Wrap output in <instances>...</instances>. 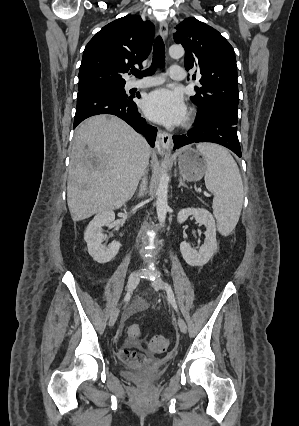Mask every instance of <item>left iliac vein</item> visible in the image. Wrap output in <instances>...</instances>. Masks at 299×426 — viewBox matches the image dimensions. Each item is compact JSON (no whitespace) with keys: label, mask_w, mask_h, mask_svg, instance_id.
<instances>
[{"label":"left iliac vein","mask_w":299,"mask_h":426,"mask_svg":"<svg viewBox=\"0 0 299 426\" xmlns=\"http://www.w3.org/2000/svg\"><path fill=\"white\" fill-rule=\"evenodd\" d=\"M152 286L154 287V289L156 290H163L165 289V284L163 282V280L161 278H156L155 280L152 281ZM178 327L180 329V331L182 333H186L187 331V325L186 322L184 321V319H182L181 317H178Z\"/></svg>","instance_id":"4c4485c4"}]
</instances>
